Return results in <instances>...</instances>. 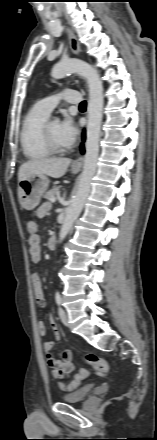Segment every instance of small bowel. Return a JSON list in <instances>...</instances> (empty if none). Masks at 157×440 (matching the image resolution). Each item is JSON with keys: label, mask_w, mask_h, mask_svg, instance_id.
<instances>
[{"label": "small bowel", "mask_w": 157, "mask_h": 440, "mask_svg": "<svg viewBox=\"0 0 157 440\" xmlns=\"http://www.w3.org/2000/svg\"><path fill=\"white\" fill-rule=\"evenodd\" d=\"M50 204L44 203L37 210V216L43 217L50 210ZM29 253L31 260L33 263L37 264L41 260V240L40 236L34 235L29 236ZM31 283L33 288L34 301L39 308L45 307V299L42 290V283L37 272H33L31 275ZM49 322L53 331V340L46 341L43 344V350L46 357L47 365L52 369V376L56 380H63L70 376V374L75 370V366L72 362V352L70 350H63L60 353V357L58 359L54 358L51 354V351L56 342L61 339V332L56 324L53 316H49ZM38 333L41 337H44L46 334V326L43 321H39L37 324Z\"/></svg>", "instance_id": "obj_1"}]
</instances>
